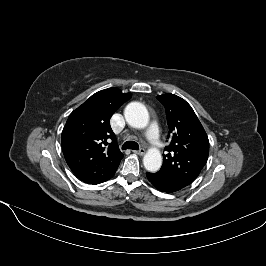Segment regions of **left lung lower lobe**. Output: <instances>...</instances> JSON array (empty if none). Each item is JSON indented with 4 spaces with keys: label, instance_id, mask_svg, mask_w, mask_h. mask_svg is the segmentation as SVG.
I'll list each match as a JSON object with an SVG mask.
<instances>
[{
    "label": "left lung lower lobe",
    "instance_id": "left-lung-lower-lobe-1",
    "mask_svg": "<svg viewBox=\"0 0 266 266\" xmlns=\"http://www.w3.org/2000/svg\"><path fill=\"white\" fill-rule=\"evenodd\" d=\"M148 180L160 191L172 193L182 189L179 186L172 184L157 173H146Z\"/></svg>",
    "mask_w": 266,
    "mask_h": 266
}]
</instances>
